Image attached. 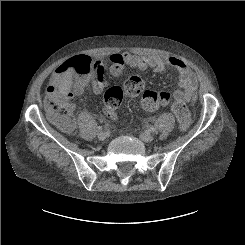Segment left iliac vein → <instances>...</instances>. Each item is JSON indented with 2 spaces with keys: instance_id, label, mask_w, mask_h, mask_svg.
<instances>
[{
  "instance_id": "obj_1",
  "label": "left iliac vein",
  "mask_w": 245,
  "mask_h": 245,
  "mask_svg": "<svg viewBox=\"0 0 245 245\" xmlns=\"http://www.w3.org/2000/svg\"><path fill=\"white\" fill-rule=\"evenodd\" d=\"M140 139L144 142H151L153 141L154 137L148 133H140Z\"/></svg>"
}]
</instances>
